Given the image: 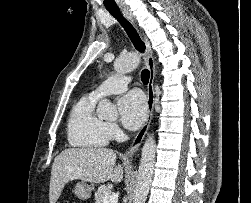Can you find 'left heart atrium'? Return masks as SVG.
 <instances>
[{"label":"left heart atrium","instance_id":"39dd6f15","mask_svg":"<svg viewBox=\"0 0 251 203\" xmlns=\"http://www.w3.org/2000/svg\"><path fill=\"white\" fill-rule=\"evenodd\" d=\"M120 118L128 129L140 127L147 116V103L144 95L139 91H131L123 95L118 101Z\"/></svg>","mask_w":251,"mask_h":203}]
</instances>
